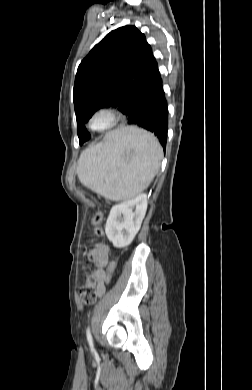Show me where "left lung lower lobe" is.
<instances>
[{"instance_id": "left-lung-lower-lobe-1", "label": "left lung lower lobe", "mask_w": 252, "mask_h": 390, "mask_svg": "<svg viewBox=\"0 0 252 390\" xmlns=\"http://www.w3.org/2000/svg\"><path fill=\"white\" fill-rule=\"evenodd\" d=\"M122 113L127 116L128 124L142 127L154 133L165 150L168 130V104L158 66L132 94ZM89 138L90 134L85 130L80 144Z\"/></svg>"}]
</instances>
